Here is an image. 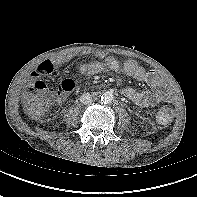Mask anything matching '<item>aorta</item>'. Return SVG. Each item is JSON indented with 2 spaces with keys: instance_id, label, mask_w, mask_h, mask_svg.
I'll list each match as a JSON object with an SVG mask.
<instances>
[{
  "instance_id": "obj_1",
  "label": "aorta",
  "mask_w": 197,
  "mask_h": 197,
  "mask_svg": "<svg viewBox=\"0 0 197 197\" xmlns=\"http://www.w3.org/2000/svg\"><path fill=\"white\" fill-rule=\"evenodd\" d=\"M114 100V95L111 91H105L101 95V102L104 104H110Z\"/></svg>"
}]
</instances>
